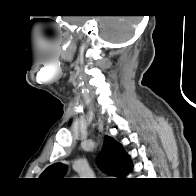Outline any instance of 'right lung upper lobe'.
I'll return each instance as SVG.
<instances>
[{"instance_id": "obj_1", "label": "right lung upper lobe", "mask_w": 196, "mask_h": 196, "mask_svg": "<svg viewBox=\"0 0 196 196\" xmlns=\"http://www.w3.org/2000/svg\"><path fill=\"white\" fill-rule=\"evenodd\" d=\"M129 157L123 150L121 144L117 143L112 137H104V147L98 157L99 166L107 174L123 178L131 169V162L125 161ZM67 170V166L62 163H55L40 175V178L49 182H55L62 178Z\"/></svg>"}]
</instances>
